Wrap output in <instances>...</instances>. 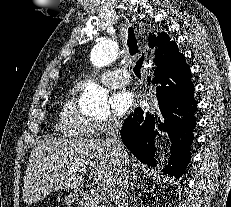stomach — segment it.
<instances>
[{"label":"stomach","instance_id":"0dacf381","mask_svg":"<svg viewBox=\"0 0 231 207\" xmlns=\"http://www.w3.org/2000/svg\"><path fill=\"white\" fill-rule=\"evenodd\" d=\"M78 200H79V196H78L77 193L70 194V195L66 196L65 199H64L65 203L68 206L72 205L74 202H76Z\"/></svg>","mask_w":231,"mask_h":207}]
</instances>
